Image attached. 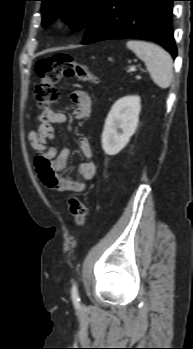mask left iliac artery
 <instances>
[{
	"instance_id": "1",
	"label": "left iliac artery",
	"mask_w": 193,
	"mask_h": 349,
	"mask_svg": "<svg viewBox=\"0 0 193 349\" xmlns=\"http://www.w3.org/2000/svg\"><path fill=\"white\" fill-rule=\"evenodd\" d=\"M71 297L75 306H79L80 298L78 295L77 284L74 283L71 289Z\"/></svg>"
}]
</instances>
